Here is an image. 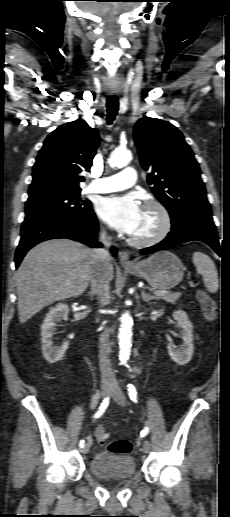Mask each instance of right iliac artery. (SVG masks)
<instances>
[{
  "label": "right iliac artery",
  "mask_w": 230,
  "mask_h": 517,
  "mask_svg": "<svg viewBox=\"0 0 230 517\" xmlns=\"http://www.w3.org/2000/svg\"><path fill=\"white\" fill-rule=\"evenodd\" d=\"M109 401H110V397H106V398L103 400V402L101 403V405H100L99 409H98V410H97V412L95 413L94 418H99V417H101V416L104 414V412L106 411L107 406H108V404H109ZM84 443H85V441H84V440H81V441L79 442V446H80V448H82V447L85 445Z\"/></svg>",
  "instance_id": "obj_1"
}]
</instances>
